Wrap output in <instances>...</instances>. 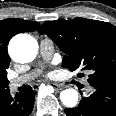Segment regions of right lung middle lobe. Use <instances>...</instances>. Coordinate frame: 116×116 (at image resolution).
I'll use <instances>...</instances> for the list:
<instances>
[{
    "instance_id": "right-lung-middle-lobe-1",
    "label": "right lung middle lobe",
    "mask_w": 116,
    "mask_h": 116,
    "mask_svg": "<svg viewBox=\"0 0 116 116\" xmlns=\"http://www.w3.org/2000/svg\"><path fill=\"white\" fill-rule=\"evenodd\" d=\"M8 84L9 81L7 80V78H3L0 80V95L4 94L7 90H9Z\"/></svg>"
}]
</instances>
